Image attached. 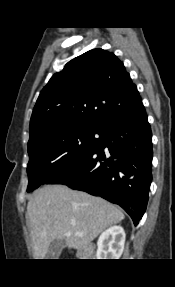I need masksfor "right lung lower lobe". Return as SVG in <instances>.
<instances>
[{
  "label": "right lung lower lobe",
  "instance_id": "obj_1",
  "mask_svg": "<svg viewBox=\"0 0 175 287\" xmlns=\"http://www.w3.org/2000/svg\"><path fill=\"white\" fill-rule=\"evenodd\" d=\"M152 133L143 103L101 126L99 141L79 163L46 184H64L121 206L137 225L152 181Z\"/></svg>",
  "mask_w": 175,
  "mask_h": 287
}]
</instances>
